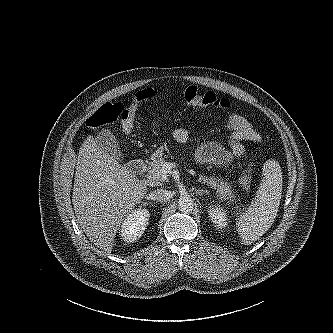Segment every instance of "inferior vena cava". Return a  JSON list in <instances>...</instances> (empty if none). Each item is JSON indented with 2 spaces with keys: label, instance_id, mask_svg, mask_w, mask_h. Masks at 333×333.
<instances>
[{
  "label": "inferior vena cava",
  "instance_id": "1",
  "mask_svg": "<svg viewBox=\"0 0 333 333\" xmlns=\"http://www.w3.org/2000/svg\"><path fill=\"white\" fill-rule=\"evenodd\" d=\"M150 196L154 201L167 202L171 198V193L164 189H157Z\"/></svg>",
  "mask_w": 333,
  "mask_h": 333
}]
</instances>
